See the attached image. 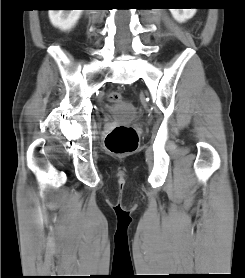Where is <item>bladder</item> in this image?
Wrapping results in <instances>:
<instances>
[{
	"instance_id": "1",
	"label": "bladder",
	"mask_w": 245,
	"mask_h": 278,
	"mask_svg": "<svg viewBox=\"0 0 245 278\" xmlns=\"http://www.w3.org/2000/svg\"><path fill=\"white\" fill-rule=\"evenodd\" d=\"M136 110L133 107L125 104H118L109 112V118L119 119L122 122H129L136 118Z\"/></svg>"
}]
</instances>
